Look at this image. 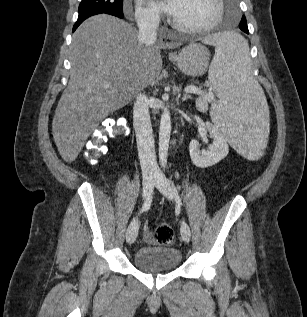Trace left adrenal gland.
I'll return each instance as SVG.
<instances>
[{
    "mask_svg": "<svg viewBox=\"0 0 307 317\" xmlns=\"http://www.w3.org/2000/svg\"><path fill=\"white\" fill-rule=\"evenodd\" d=\"M181 87L179 88V90H178V97L180 98L181 97ZM181 99H182V101H186V100H188V99H192V96L191 95H187V94H185V95H183L182 97H181Z\"/></svg>",
    "mask_w": 307,
    "mask_h": 317,
    "instance_id": "left-adrenal-gland-1",
    "label": "left adrenal gland"
}]
</instances>
